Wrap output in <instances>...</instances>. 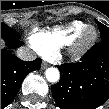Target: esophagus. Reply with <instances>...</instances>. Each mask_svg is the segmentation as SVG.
Listing matches in <instances>:
<instances>
[{
  "mask_svg": "<svg viewBox=\"0 0 109 109\" xmlns=\"http://www.w3.org/2000/svg\"><path fill=\"white\" fill-rule=\"evenodd\" d=\"M48 66V63L42 62L41 69H46Z\"/></svg>",
  "mask_w": 109,
  "mask_h": 109,
  "instance_id": "34e87169",
  "label": "esophagus"
}]
</instances>
